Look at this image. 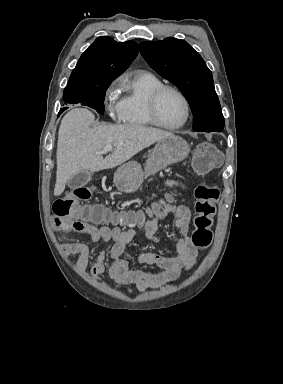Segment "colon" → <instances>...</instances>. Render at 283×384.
Wrapping results in <instances>:
<instances>
[{
  "label": "colon",
  "instance_id": "5ec220e1",
  "mask_svg": "<svg viewBox=\"0 0 283 384\" xmlns=\"http://www.w3.org/2000/svg\"><path fill=\"white\" fill-rule=\"evenodd\" d=\"M222 156L217 148L209 142L200 144L194 156V166L199 173H208L218 167ZM93 190L89 187L76 188L69 191L63 198L55 201L54 214L71 222L89 220L94 223H120L136 225L143 221L142 214L121 213L112 215L102 207H85L81 203L88 200ZM195 229L191 240L197 248H206L212 241V225L217 211V202L220 197V188L216 184H201L195 192Z\"/></svg>",
  "mask_w": 283,
  "mask_h": 384
}]
</instances>
